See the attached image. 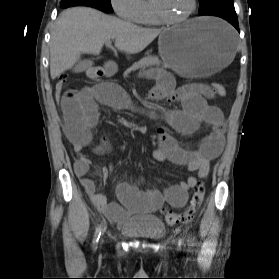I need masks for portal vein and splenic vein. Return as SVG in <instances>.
<instances>
[{"label":"portal vein and splenic vein","instance_id":"1","mask_svg":"<svg viewBox=\"0 0 279 279\" xmlns=\"http://www.w3.org/2000/svg\"><path fill=\"white\" fill-rule=\"evenodd\" d=\"M106 46H107L108 48H110V47H111V41H107V42H106Z\"/></svg>","mask_w":279,"mask_h":279}]
</instances>
